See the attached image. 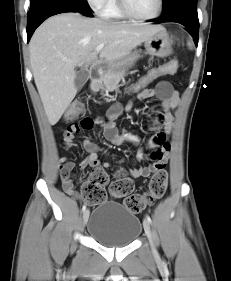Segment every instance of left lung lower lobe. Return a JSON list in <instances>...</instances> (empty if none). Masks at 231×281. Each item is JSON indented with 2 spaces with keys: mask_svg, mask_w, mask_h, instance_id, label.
<instances>
[{
  "mask_svg": "<svg viewBox=\"0 0 231 281\" xmlns=\"http://www.w3.org/2000/svg\"><path fill=\"white\" fill-rule=\"evenodd\" d=\"M154 23L177 22L185 27L193 36L195 44H198L199 21L197 14V0H176L163 8V14L150 20Z\"/></svg>",
  "mask_w": 231,
  "mask_h": 281,
  "instance_id": "0a47b994",
  "label": "left lung lower lobe"
}]
</instances>
